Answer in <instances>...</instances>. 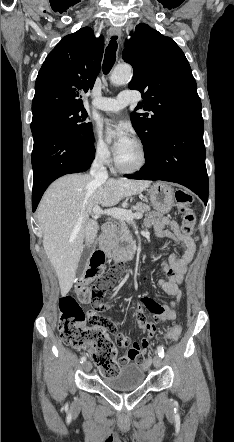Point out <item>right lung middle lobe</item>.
Returning <instances> with one entry per match:
<instances>
[{
  "instance_id": "dd1d6c3e",
  "label": "right lung middle lobe",
  "mask_w": 234,
  "mask_h": 442,
  "mask_svg": "<svg viewBox=\"0 0 234 442\" xmlns=\"http://www.w3.org/2000/svg\"><path fill=\"white\" fill-rule=\"evenodd\" d=\"M87 117L88 114L83 107L53 109L34 115L31 131L33 133L40 129H55L83 143H88L93 139V131Z\"/></svg>"
}]
</instances>
